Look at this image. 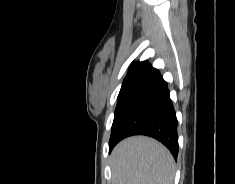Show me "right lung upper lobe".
<instances>
[{"instance_id":"cb5924a9","label":"right lung upper lobe","mask_w":235,"mask_h":184,"mask_svg":"<svg viewBox=\"0 0 235 184\" xmlns=\"http://www.w3.org/2000/svg\"><path fill=\"white\" fill-rule=\"evenodd\" d=\"M152 69L153 67L147 61L133 63L129 68L120 91L125 92L129 88L138 84Z\"/></svg>"}]
</instances>
